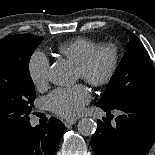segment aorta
Masks as SVG:
<instances>
[{
	"label": "aorta",
	"mask_w": 155,
	"mask_h": 155,
	"mask_svg": "<svg viewBox=\"0 0 155 155\" xmlns=\"http://www.w3.org/2000/svg\"><path fill=\"white\" fill-rule=\"evenodd\" d=\"M49 81L57 86L72 83L74 79L72 67L64 61L54 63L48 72ZM77 129L84 136H91L96 131V123L91 118H82L77 124Z\"/></svg>",
	"instance_id": "aorta-1"
}]
</instances>
